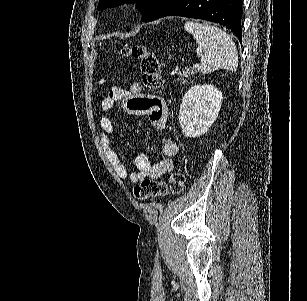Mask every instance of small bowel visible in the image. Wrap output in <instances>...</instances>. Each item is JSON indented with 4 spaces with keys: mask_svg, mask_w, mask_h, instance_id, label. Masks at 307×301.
Returning <instances> with one entry per match:
<instances>
[{
    "mask_svg": "<svg viewBox=\"0 0 307 301\" xmlns=\"http://www.w3.org/2000/svg\"><path fill=\"white\" fill-rule=\"evenodd\" d=\"M121 102L123 108L133 115H147L151 124L158 130H164L167 123V107L164 100L158 96L144 94L138 85L129 89L114 87L101 102L105 112ZM100 125V144L116 174L122 179L138 182L145 178L158 179L174 168L173 157L179 152L177 143L170 137L162 140L164 158L152 164L148 155L140 153L135 158V170L130 171L122 163L117 152L111 146V136L114 133V123L109 117H102Z\"/></svg>",
    "mask_w": 307,
    "mask_h": 301,
    "instance_id": "c3829d8e",
    "label": "small bowel"
}]
</instances>
